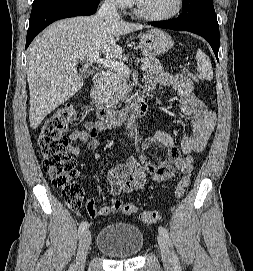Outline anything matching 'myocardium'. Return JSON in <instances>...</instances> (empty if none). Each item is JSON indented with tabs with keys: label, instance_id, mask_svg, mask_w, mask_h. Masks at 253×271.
<instances>
[{
	"label": "myocardium",
	"instance_id": "1",
	"mask_svg": "<svg viewBox=\"0 0 253 271\" xmlns=\"http://www.w3.org/2000/svg\"><path fill=\"white\" fill-rule=\"evenodd\" d=\"M132 2L134 5L135 13L139 17L149 20V21H157V22L168 21L175 18L181 13L184 6V0H177L176 7L172 12L165 15H152L144 11V9L142 8L140 4V0H132Z\"/></svg>",
	"mask_w": 253,
	"mask_h": 271
}]
</instances>
